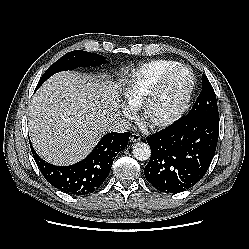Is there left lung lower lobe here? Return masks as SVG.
<instances>
[{"label":"left lung lower lobe","instance_id":"0a47b994","mask_svg":"<svg viewBox=\"0 0 249 249\" xmlns=\"http://www.w3.org/2000/svg\"><path fill=\"white\" fill-rule=\"evenodd\" d=\"M219 120L182 117L151 135V157L144 168L146 179L157 190L178 193L194 186L214 157Z\"/></svg>","mask_w":249,"mask_h":249}]
</instances>
